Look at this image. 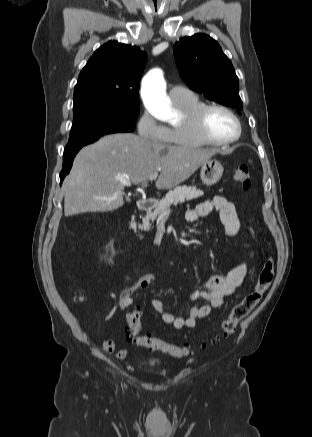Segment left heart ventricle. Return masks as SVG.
Here are the masks:
<instances>
[{
    "label": "left heart ventricle",
    "instance_id": "1",
    "mask_svg": "<svg viewBox=\"0 0 312 437\" xmlns=\"http://www.w3.org/2000/svg\"><path fill=\"white\" fill-rule=\"evenodd\" d=\"M205 129L211 138L226 140L236 134L237 126L234 119L226 112L214 109L205 119Z\"/></svg>",
    "mask_w": 312,
    "mask_h": 437
}]
</instances>
